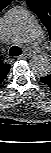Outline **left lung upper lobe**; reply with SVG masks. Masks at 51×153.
I'll use <instances>...</instances> for the list:
<instances>
[{
    "label": "left lung upper lobe",
    "mask_w": 51,
    "mask_h": 153,
    "mask_svg": "<svg viewBox=\"0 0 51 153\" xmlns=\"http://www.w3.org/2000/svg\"><path fill=\"white\" fill-rule=\"evenodd\" d=\"M27 4L46 26L51 39V0H27Z\"/></svg>",
    "instance_id": "1"
}]
</instances>
